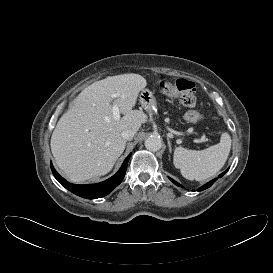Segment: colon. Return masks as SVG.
<instances>
[{
  "mask_svg": "<svg viewBox=\"0 0 273 273\" xmlns=\"http://www.w3.org/2000/svg\"><path fill=\"white\" fill-rule=\"evenodd\" d=\"M161 89L170 96L178 97L181 103L187 107H193L196 104V89L195 84L186 79H178L174 82H162ZM186 121L195 123L201 119V115L190 110L185 113Z\"/></svg>",
  "mask_w": 273,
  "mask_h": 273,
  "instance_id": "5ec220e1",
  "label": "colon"
}]
</instances>
